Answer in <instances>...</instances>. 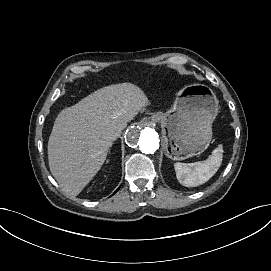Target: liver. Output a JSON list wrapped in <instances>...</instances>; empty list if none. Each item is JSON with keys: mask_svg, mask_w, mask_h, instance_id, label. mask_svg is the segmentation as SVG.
<instances>
[{"mask_svg": "<svg viewBox=\"0 0 271 271\" xmlns=\"http://www.w3.org/2000/svg\"><path fill=\"white\" fill-rule=\"evenodd\" d=\"M134 85L106 87L59 113L49 141L52 175L61 188L79 195L103 166L112 140L150 106Z\"/></svg>", "mask_w": 271, "mask_h": 271, "instance_id": "6515ba94", "label": "liver"}]
</instances>
